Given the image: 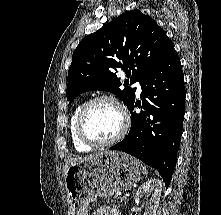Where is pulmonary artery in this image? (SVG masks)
I'll return each instance as SVG.
<instances>
[{
    "label": "pulmonary artery",
    "mask_w": 221,
    "mask_h": 215,
    "mask_svg": "<svg viewBox=\"0 0 221 215\" xmlns=\"http://www.w3.org/2000/svg\"><path fill=\"white\" fill-rule=\"evenodd\" d=\"M135 87H136V89H137V93L140 94L141 91H142V88H141L140 83H139V82H136V83H135Z\"/></svg>",
    "instance_id": "pulmonary-artery-1"
}]
</instances>
